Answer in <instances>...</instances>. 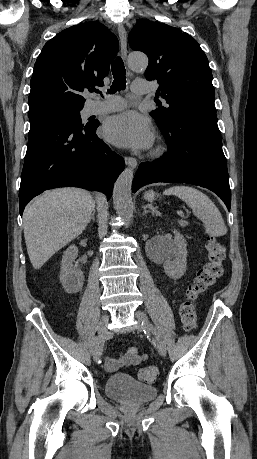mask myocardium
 <instances>
[{
	"mask_svg": "<svg viewBox=\"0 0 257 459\" xmlns=\"http://www.w3.org/2000/svg\"><path fill=\"white\" fill-rule=\"evenodd\" d=\"M163 151H164L163 145L159 144V145L154 149L153 154H154V155H160V154L163 153Z\"/></svg>",
	"mask_w": 257,
	"mask_h": 459,
	"instance_id": "myocardium-1",
	"label": "myocardium"
}]
</instances>
